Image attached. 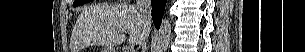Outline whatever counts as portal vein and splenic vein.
Returning <instances> with one entry per match:
<instances>
[{"label":"portal vein and splenic vein","mask_w":305,"mask_h":52,"mask_svg":"<svg viewBox=\"0 0 305 52\" xmlns=\"http://www.w3.org/2000/svg\"><path fill=\"white\" fill-rule=\"evenodd\" d=\"M127 52H133V50L132 49H127Z\"/></svg>","instance_id":"obj_1"}]
</instances>
